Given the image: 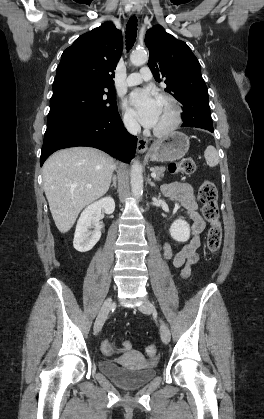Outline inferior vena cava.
Here are the masks:
<instances>
[{"label":"inferior vena cava","mask_w":264,"mask_h":419,"mask_svg":"<svg viewBox=\"0 0 264 419\" xmlns=\"http://www.w3.org/2000/svg\"><path fill=\"white\" fill-rule=\"evenodd\" d=\"M124 125H125L126 129L128 130V132L133 134V135H137V133H139L140 130H141V127H140L139 123L132 118H126L124 120Z\"/></svg>","instance_id":"obj_1"}]
</instances>
